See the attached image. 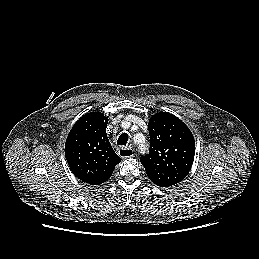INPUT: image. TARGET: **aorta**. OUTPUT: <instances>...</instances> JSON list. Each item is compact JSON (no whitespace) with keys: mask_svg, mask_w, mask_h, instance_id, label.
<instances>
[{"mask_svg":"<svg viewBox=\"0 0 259 259\" xmlns=\"http://www.w3.org/2000/svg\"><path fill=\"white\" fill-rule=\"evenodd\" d=\"M136 142L139 145L141 151L145 152L147 148H146V145H145V138H144V136L141 137L140 141H136Z\"/></svg>","mask_w":259,"mask_h":259,"instance_id":"762f6f07","label":"aorta"}]
</instances>
